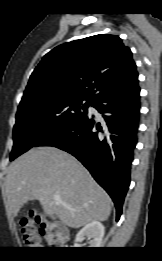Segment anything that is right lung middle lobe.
<instances>
[{"label":"right lung middle lobe","mask_w":162,"mask_h":261,"mask_svg":"<svg viewBox=\"0 0 162 261\" xmlns=\"http://www.w3.org/2000/svg\"><path fill=\"white\" fill-rule=\"evenodd\" d=\"M86 103L83 104V101ZM93 101L72 95L33 97L21 101L13 128L10 160L26 152L55 130L87 115Z\"/></svg>","instance_id":"dd1d6c3e"}]
</instances>
